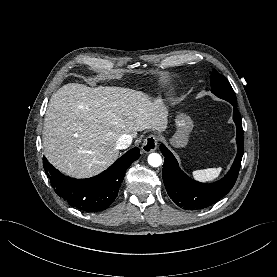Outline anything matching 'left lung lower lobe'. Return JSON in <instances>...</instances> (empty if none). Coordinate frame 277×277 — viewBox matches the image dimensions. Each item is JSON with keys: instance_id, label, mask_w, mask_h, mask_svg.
Instances as JSON below:
<instances>
[{"instance_id": "1", "label": "left lung lower lobe", "mask_w": 277, "mask_h": 277, "mask_svg": "<svg viewBox=\"0 0 277 277\" xmlns=\"http://www.w3.org/2000/svg\"><path fill=\"white\" fill-rule=\"evenodd\" d=\"M234 107L233 120L237 127V155L227 175L221 180L205 184L187 176L179 167L173 154L164 146L160 150L164 155L163 180L170 198L181 208L187 210L204 209L226 195L236 182L241 160L244 152L243 129L240 113L236 104Z\"/></svg>"}]
</instances>
